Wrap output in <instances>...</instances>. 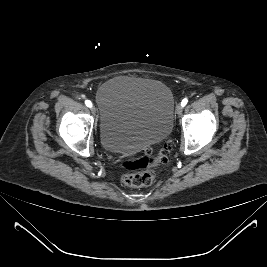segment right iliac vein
Listing matches in <instances>:
<instances>
[{"mask_svg":"<svg viewBox=\"0 0 267 267\" xmlns=\"http://www.w3.org/2000/svg\"><path fill=\"white\" fill-rule=\"evenodd\" d=\"M91 111H92V113L95 115V114H96V112H97V109H96V107H95V106H91Z\"/></svg>","mask_w":267,"mask_h":267,"instance_id":"obj_1","label":"right iliac vein"}]
</instances>
